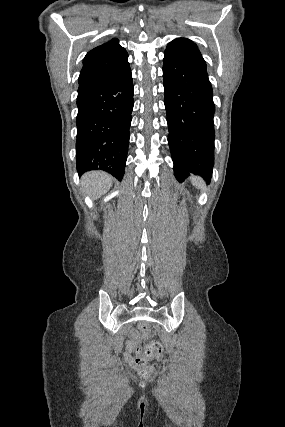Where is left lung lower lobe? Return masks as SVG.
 I'll list each match as a JSON object with an SVG mask.
<instances>
[{"mask_svg":"<svg viewBox=\"0 0 285 427\" xmlns=\"http://www.w3.org/2000/svg\"><path fill=\"white\" fill-rule=\"evenodd\" d=\"M163 80L174 175L182 182L193 173L209 183L214 165L215 105L206 62L185 54H165Z\"/></svg>","mask_w":285,"mask_h":427,"instance_id":"1","label":"left lung lower lobe"}]
</instances>
